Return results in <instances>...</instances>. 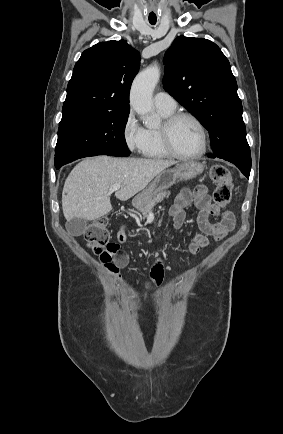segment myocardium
Returning <instances> with one entry per match:
<instances>
[{"instance_id":"myocardium-1","label":"myocardium","mask_w":283,"mask_h":434,"mask_svg":"<svg viewBox=\"0 0 283 434\" xmlns=\"http://www.w3.org/2000/svg\"><path fill=\"white\" fill-rule=\"evenodd\" d=\"M181 119L191 120L198 128L201 137V147L198 152L194 154H181L173 146L172 143V130L175 124ZM160 135L163 147L168 155L180 159V160H195L202 157L208 146V135L207 130L200 119L190 112H173L167 118L164 119L162 125L160 126Z\"/></svg>"}]
</instances>
